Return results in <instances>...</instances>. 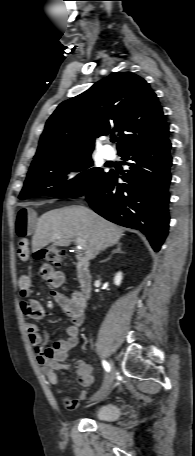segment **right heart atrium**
Returning <instances> with one entry per match:
<instances>
[{"label":"right heart atrium","instance_id":"right-heart-atrium-1","mask_svg":"<svg viewBox=\"0 0 195 456\" xmlns=\"http://www.w3.org/2000/svg\"><path fill=\"white\" fill-rule=\"evenodd\" d=\"M85 175V169L78 163L69 164L61 171V179L66 184L78 183Z\"/></svg>","mask_w":195,"mask_h":456}]
</instances>
